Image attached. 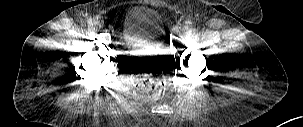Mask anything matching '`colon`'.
Segmentation results:
<instances>
[{
	"instance_id": "5ec220e1",
	"label": "colon",
	"mask_w": 303,
	"mask_h": 127,
	"mask_svg": "<svg viewBox=\"0 0 303 127\" xmlns=\"http://www.w3.org/2000/svg\"><path fill=\"white\" fill-rule=\"evenodd\" d=\"M166 71V63L162 59L136 62L133 73L137 88L151 97H162L166 92Z\"/></svg>"
}]
</instances>
